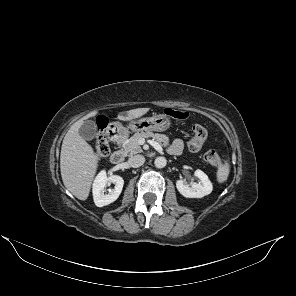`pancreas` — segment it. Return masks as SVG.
<instances>
[{"label":"pancreas","instance_id":"obj_1","mask_svg":"<svg viewBox=\"0 0 296 296\" xmlns=\"http://www.w3.org/2000/svg\"><path fill=\"white\" fill-rule=\"evenodd\" d=\"M146 138H153L156 140L158 143H160L163 146H167L169 144V137L165 134H158V133H153L150 131L147 132H140V133H135L125 144L124 146V152L128 154L129 156L141 153L143 150L139 144V141L141 139H146Z\"/></svg>","mask_w":296,"mask_h":296}]
</instances>
